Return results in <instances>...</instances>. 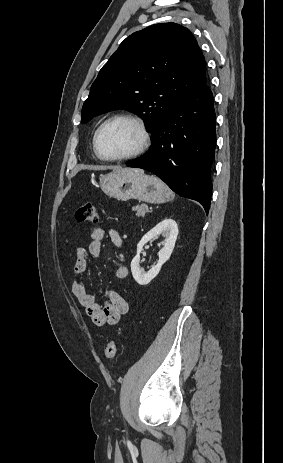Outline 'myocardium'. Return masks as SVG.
Instances as JSON below:
<instances>
[{"label":"myocardium","instance_id":"myocardium-1","mask_svg":"<svg viewBox=\"0 0 283 463\" xmlns=\"http://www.w3.org/2000/svg\"><path fill=\"white\" fill-rule=\"evenodd\" d=\"M120 120L131 122L137 127L139 134H140L139 144L134 151L126 155L116 156V157L103 156L98 147L99 136L102 130L107 125H109L112 122L120 121ZM150 143H151V136H150V132L147 128L146 123L144 122L142 118H140L139 116L135 114H131V113L116 114L114 116L109 117L97 128V130L95 131L94 137H93V148H94L95 154L97 155L99 159L106 161V162H121V161H127V160L134 159L136 157H139L140 155L146 152V150L150 146Z\"/></svg>","mask_w":283,"mask_h":463}]
</instances>
